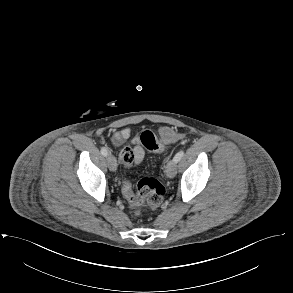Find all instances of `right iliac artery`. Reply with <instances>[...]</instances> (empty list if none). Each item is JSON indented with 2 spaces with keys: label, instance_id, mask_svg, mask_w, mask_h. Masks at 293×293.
Wrapping results in <instances>:
<instances>
[{
  "label": "right iliac artery",
  "instance_id": "1",
  "mask_svg": "<svg viewBox=\"0 0 293 293\" xmlns=\"http://www.w3.org/2000/svg\"><path fill=\"white\" fill-rule=\"evenodd\" d=\"M108 153H109V152H108V150H107L106 148H104V147L101 148V154H102L103 156L106 157V156L108 155Z\"/></svg>",
  "mask_w": 293,
  "mask_h": 293
}]
</instances>
